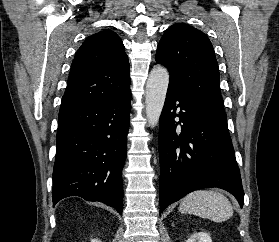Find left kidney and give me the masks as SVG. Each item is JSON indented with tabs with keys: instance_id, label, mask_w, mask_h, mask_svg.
Instances as JSON below:
<instances>
[{
	"instance_id": "5707ae66",
	"label": "left kidney",
	"mask_w": 279,
	"mask_h": 242,
	"mask_svg": "<svg viewBox=\"0 0 279 242\" xmlns=\"http://www.w3.org/2000/svg\"><path fill=\"white\" fill-rule=\"evenodd\" d=\"M186 242H212V240L208 233L198 232L192 234Z\"/></svg>"
}]
</instances>
